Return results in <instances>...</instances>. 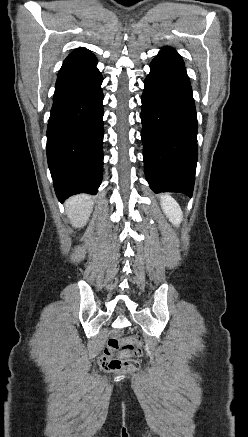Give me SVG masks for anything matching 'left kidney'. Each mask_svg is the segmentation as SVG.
Returning <instances> with one entry per match:
<instances>
[{
    "label": "left kidney",
    "instance_id": "obj_1",
    "mask_svg": "<svg viewBox=\"0 0 248 437\" xmlns=\"http://www.w3.org/2000/svg\"><path fill=\"white\" fill-rule=\"evenodd\" d=\"M162 209L169 221L179 226L183 219V213L178 203L171 196H161Z\"/></svg>",
    "mask_w": 248,
    "mask_h": 437
}]
</instances>
